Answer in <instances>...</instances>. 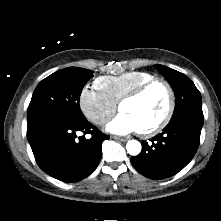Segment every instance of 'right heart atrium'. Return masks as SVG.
I'll use <instances>...</instances> for the list:
<instances>
[{"mask_svg":"<svg viewBox=\"0 0 221 221\" xmlns=\"http://www.w3.org/2000/svg\"><path fill=\"white\" fill-rule=\"evenodd\" d=\"M79 106L84 116L95 125H102L115 113L117 104L97 87H85L79 97Z\"/></svg>","mask_w":221,"mask_h":221,"instance_id":"right-heart-atrium-1","label":"right heart atrium"}]
</instances>
